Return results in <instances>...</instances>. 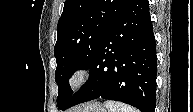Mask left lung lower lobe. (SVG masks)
I'll return each instance as SVG.
<instances>
[{
  "label": "left lung lower lobe",
  "instance_id": "1",
  "mask_svg": "<svg viewBox=\"0 0 193 112\" xmlns=\"http://www.w3.org/2000/svg\"><path fill=\"white\" fill-rule=\"evenodd\" d=\"M156 65L148 0H132L100 42L88 81L60 109L104 98L154 112Z\"/></svg>",
  "mask_w": 193,
  "mask_h": 112
}]
</instances>
